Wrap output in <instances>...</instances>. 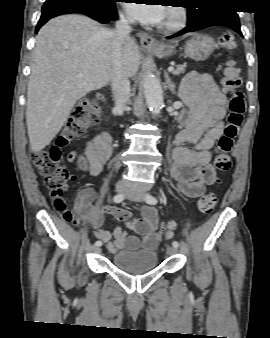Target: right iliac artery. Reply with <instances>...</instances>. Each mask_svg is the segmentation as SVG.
<instances>
[{
  "mask_svg": "<svg viewBox=\"0 0 270 338\" xmlns=\"http://www.w3.org/2000/svg\"><path fill=\"white\" fill-rule=\"evenodd\" d=\"M124 199H125V195H124V194H117V195H115V196L113 197V201H114L115 203H120V202H122ZM95 245H96V246H101V245H102V242H101L100 240H97V241L95 242Z\"/></svg>",
  "mask_w": 270,
  "mask_h": 338,
  "instance_id": "obj_1",
  "label": "right iliac artery"
}]
</instances>
